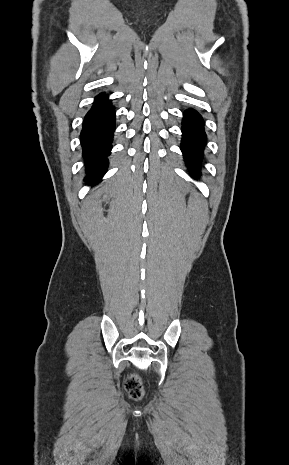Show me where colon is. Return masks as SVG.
<instances>
[{"label":"colon","instance_id":"1","mask_svg":"<svg viewBox=\"0 0 289 465\" xmlns=\"http://www.w3.org/2000/svg\"><path fill=\"white\" fill-rule=\"evenodd\" d=\"M127 390L135 397H138L142 393V388L139 379L135 375H131L126 380Z\"/></svg>","mask_w":289,"mask_h":465}]
</instances>
